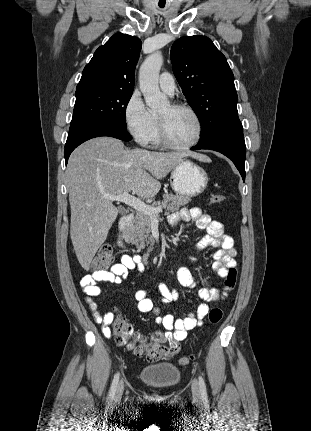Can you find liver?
Segmentation results:
<instances>
[{"instance_id": "obj_1", "label": "liver", "mask_w": 311, "mask_h": 431, "mask_svg": "<svg viewBox=\"0 0 311 431\" xmlns=\"http://www.w3.org/2000/svg\"><path fill=\"white\" fill-rule=\"evenodd\" d=\"M211 162L196 152L126 150L121 140L93 138L72 152L66 174L71 208L70 235L79 263L88 271L100 245L118 216L112 200L131 192L152 200L161 190L160 180L184 158Z\"/></svg>"}]
</instances>
